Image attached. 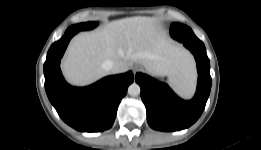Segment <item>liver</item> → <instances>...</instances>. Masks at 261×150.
I'll list each match as a JSON object with an SVG mask.
<instances>
[{
	"mask_svg": "<svg viewBox=\"0 0 261 150\" xmlns=\"http://www.w3.org/2000/svg\"><path fill=\"white\" fill-rule=\"evenodd\" d=\"M108 61L128 68L139 63L148 71L178 77L190 66L189 54L160 31L156 20L130 17L82 32L70 43L62 69L69 82L86 85L109 73Z\"/></svg>",
	"mask_w": 261,
	"mask_h": 150,
	"instance_id": "1",
	"label": "liver"
}]
</instances>
